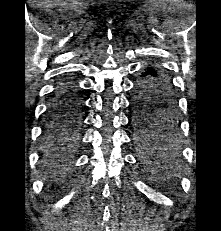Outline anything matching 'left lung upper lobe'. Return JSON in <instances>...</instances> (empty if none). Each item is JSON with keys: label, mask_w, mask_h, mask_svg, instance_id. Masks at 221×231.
<instances>
[{"label": "left lung upper lobe", "mask_w": 221, "mask_h": 231, "mask_svg": "<svg viewBox=\"0 0 221 231\" xmlns=\"http://www.w3.org/2000/svg\"><path fill=\"white\" fill-rule=\"evenodd\" d=\"M155 71L156 81L162 83L152 88H141L140 93L133 98V122L138 127V142H144L149 137L157 134V130L166 132L169 125L176 121V100L172 96L173 90L166 74ZM158 98L162 101L156 107L148 104L149 98Z\"/></svg>", "instance_id": "left-lung-upper-lobe-1"}]
</instances>
